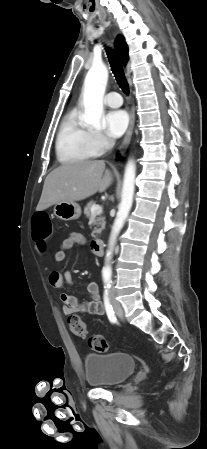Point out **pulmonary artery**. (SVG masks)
<instances>
[{
  "instance_id": "obj_1",
  "label": "pulmonary artery",
  "mask_w": 207,
  "mask_h": 449,
  "mask_svg": "<svg viewBox=\"0 0 207 449\" xmlns=\"http://www.w3.org/2000/svg\"><path fill=\"white\" fill-rule=\"evenodd\" d=\"M104 103L112 108H116L122 105L123 99L118 92H110L104 98Z\"/></svg>"
}]
</instances>
